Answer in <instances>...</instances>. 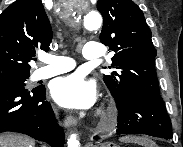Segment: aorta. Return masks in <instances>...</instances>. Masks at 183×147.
<instances>
[{
    "instance_id": "obj_1",
    "label": "aorta",
    "mask_w": 183,
    "mask_h": 147,
    "mask_svg": "<svg viewBox=\"0 0 183 147\" xmlns=\"http://www.w3.org/2000/svg\"><path fill=\"white\" fill-rule=\"evenodd\" d=\"M102 17L98 12H89L83 18V25L87 30H96L101 27ZM68 147H80L76 134H72L68 139Z\"/></svg>"
}]
</instances>
